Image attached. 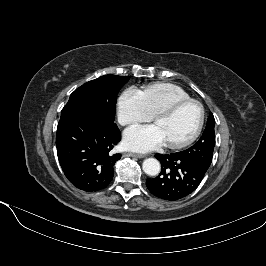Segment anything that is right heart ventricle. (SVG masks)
<instances>
[{
  "label": "right heart ventricle",
  "mask_w": 266,
  "mask_h": 266,
  "mask_svg": "<svg viewBox=\"0 0 266 266\" xmlns=\"http://www.w3.org/2000/svg\"><path fill=\"white\" fill-rule=\"evenodd\" d=\"M141 93L151 115L176 101L190 98L181 87L163 82L150 84Z\"/></svg>",
  "instance_id": "right-heart-ventricle-1"
}]
</instances>
